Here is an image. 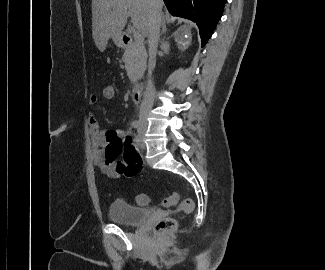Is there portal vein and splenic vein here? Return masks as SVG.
Here are the masks:
<instances>
[{
  "mask_svg": "<svg viewBox=\"0 0 325 270\" xmlns=\"http://www.w3.org/2000/svg\"><path fill=\"white\" fill-rule=\"evenodd\" d=\"M129 16V15H128ZM133 36H134V39H135V41L137 42V43H139V44H143V42H144V37H143V35L139 32V31H137V30H133Z\"/></svg>",
  "mask_w": 325,
  "mask_h": 270,
  "instance_id": "portal-vein-and-splenic-vein-1",
  "label": "portal vein and splenic vein"
}]
</instances>
